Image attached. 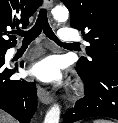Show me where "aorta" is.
I'll return each instance as SVG.
<instances>
[{
    "label": "aorta",
    "mask_w": 118,
    "mask_h": 123,
    "mask_svg": "<svg viewBox=\"0 0 118 123\" xmlns=\"http://www.w3.org/2000/svg\"><path fill=\"white\" fill-rule=\"evenodd\" d=\"M53 17L61 23H64L68 20L69 11L64 6H56L52 9ZM60 119V106L54 104L46 113L44 123H59Z\"/></svg>",
    "instance_id": "aorta-1"
}]
</instances>
